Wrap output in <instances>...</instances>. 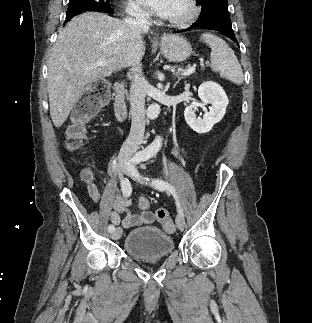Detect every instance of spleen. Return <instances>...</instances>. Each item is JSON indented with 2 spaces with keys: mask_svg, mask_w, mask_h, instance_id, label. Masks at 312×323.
Wrapping results in <instances>:
<instances>
[{
  "mask_svg": "<svg viewBox=\"0 0 312 323\" xmlns=\"http://www.w3.org/2000/svg\"><path fill=\"white\" fill-rule=\"evenodd\" d=\"M200 40L211 48V66L215 70H219L221 78H227V80L241 86L244 80L242 68L233 50L227 46L225 40L210 34V32H204Z\"/></svg>",
  "mask_w": 312,
  "mask_h": 323,
  "instance_id": "obj_1",
  "label": "spleen"
}]
</instances>
